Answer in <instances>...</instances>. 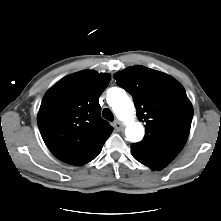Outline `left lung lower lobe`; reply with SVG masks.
<instances>
[{
	"mask_svg": "<svg viewBox=\"0 0 221 221\" xmlns=\"http://www.w3.org/2000/svg\"><path fill=\"white\" fill-rule=\"evenodd\" d=\"M132 156L140 163L150 167L153 170H161L169 163L160 161L144 150L141 146L131 145Z\"/></svg>",
	"mask_w": 221,
	"mask_h": 221,
	"instance_id": "left-lung-lower-lobe-1",
	"label": "left lung lower lobe"
}]
</instances>
